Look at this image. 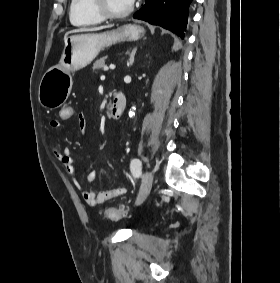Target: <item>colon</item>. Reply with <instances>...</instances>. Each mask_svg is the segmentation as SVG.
I'll use <instances>...</instances> for the list:
<instances>
[{
    "label": "colon",
    "mask_w": 280,
    "mask_h": 283,
    "mask_svg": "<svg viewBox=\"0 0 280 283\" xmlns=\"http://www.w3.org/2000/svg\"><path fill=\"white\" fill-rule=\"evenodd\" d=\"M77 108L74 104H63L62 107L58 109L57 119L61 122H70L73 116V112H76ZM126 210L124 208L111 207L106 210L105 216L110 221H117L123 215H125Z\"/></svg>",
    "instance_id": "5ec220e1"
}]
</instances>
